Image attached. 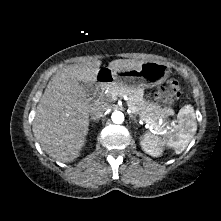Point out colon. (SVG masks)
<instances>
[{"instance_id":"5ec220e1","label":"colon","mask_w":221,"mask_h":221,"mask_svg":"<svg viewBox=\"0 0 221 221\" xmlns=\"http://www.w3.org/2000/svg\"><path fill=\"white\" fill-rule=\"evenodd\" d=\"M181 95V88L176 81H170L165 87L158 93V96L162 99L173 101L179 98Z\"/></svg>"}]
</instances>
